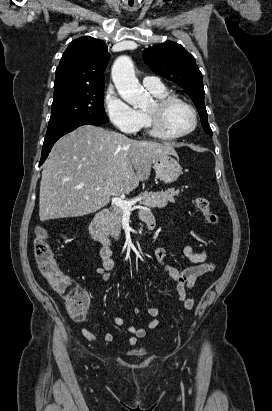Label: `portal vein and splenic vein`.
I'll return each mask as SVG.
<instances>
[{
    "label": "portal vein and splenic vein",
    "instance_id": "1",
    "mask_svg": "<svg viewBox=\"0 0 272 411\" xmlns=\"http://www.w3.org/2000/svg\"><path fill=\"white\" fill-rule=\"evenodd\" d=\"M99 189H100L99 187H96V190H99ZM142 199H143L142 197H137L133 200L127 201V200H123L120 197L115 196L112 198V204L120 207L122 210L129 211L131 210L133 205H135L138 201H141Z\"/></svg>",
    "mask_w": 272,
    "mask_h": 411
}]
</instances>
